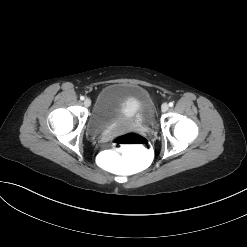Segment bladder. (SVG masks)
I'll list each match as a JSON object with an SVG mask.
<instances>
[{
  "instance_id": "31cf9c89",
  "label": "bladder",
  "mask_w": 247,
  "mask_h": 247,
  "mask_svg": "<svg viewBox=\"0 0 247 247\" xmlns=\"http://www.w3.org/2000/svg\"><path fill=\"white\" fill-rule=\"evenodd\" d=\"M118 122L147 126L154 122L153 102L146 90L135 85H110L98 97L88 121L90 132H103Z\"/></svg>"
}]
</instances>
